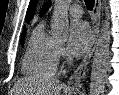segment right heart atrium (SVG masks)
<instances>
[{
  "mask_svg": "<svg viewBox=\"0 0 119 95\" xmlns=\"http://www.w3.org/2000/svg\"><path fill=\"white\" fill-rule=\"evenodd\" d=\"M64 48L61 44H58L57 45V56H58V59L64 57Z\"/></svg>",
  "mask_w": 119,
  "mask_h": 95,
  "instance_id": "obj_1",
  "label": "right heart atrium"
}]
</instances>
